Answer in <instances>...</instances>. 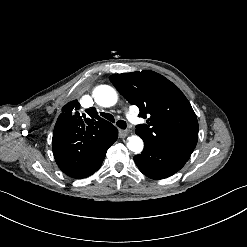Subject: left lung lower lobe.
Instances as JSON below:
<instances>
[{
    "label": "left lung lower lobe",
    "mask_w": 247,
    "mask_h": 247,
    "mask_svg": "<svg viewBox=\"0 0 247 247\" xmlns=\"http://www.w3.org/2000/svg\"><path fill=\"white\" fill-rule=\"evenodd\" d=\"M139 170L151 179L167 178L178 172L188 160L175 156L144 141V150L134 156Z\"/></svg>",
    "instance_id": "obj_1"
}]
</instances>
